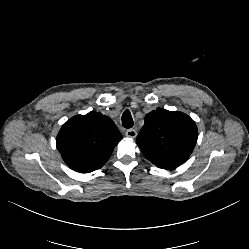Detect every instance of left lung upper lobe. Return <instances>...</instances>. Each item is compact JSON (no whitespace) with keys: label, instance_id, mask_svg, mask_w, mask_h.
Instances as JSON below:
<instances>
[{"label":"left lung upper lobe","instance_id":"obj_1","mask_svg":"<svg viewBox=\"0 0 249 249\" xmlns=\"http://www.w3.org/2000/svg\"><path fill=\"white\" fill-rule=\"evenodd\" d=\"M144 121L136 143L149 161L172 169L188 159L198 136L197 126L188 115L157 109L148 113Z\"/></svg>","mask_w":249,"mask_h":249}]
</instances>
